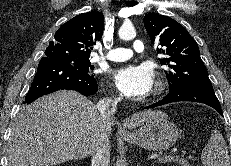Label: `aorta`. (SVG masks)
<instances>
[{"instance_id": "aorta-1", "label": "aorta", "mask_w": 231, "mask_h": 166, "mask_svg": "<svg viewBox=\"0 0 231 166\" xmlns=\"http://www.w3.org/2000/svg\"><path fill=\"white\" fill-rule=\"evenodd\" d=\"M118 35L122 40H132L136 37V30L131 23H124L119 29Z\"/></svg>"}]
</instances>
